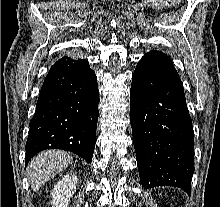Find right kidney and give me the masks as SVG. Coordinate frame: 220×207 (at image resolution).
<instances>
[{"mask_svg":"<svg viewBox=\"0 0 220 207\" xmlns=\"http://www.w3.org/2000/svg\"><path fill=\"white\" fill-rule=\"evenodd\" d=\"M78 178L76 175H65L61 180L54 186L51 196L52 207H68L70 198H72L74 192H76V185Z\"/></svg>","mask_w":220,"mask_h":207,"instance_id":"1","label":"right kidney"}]
</instances>
